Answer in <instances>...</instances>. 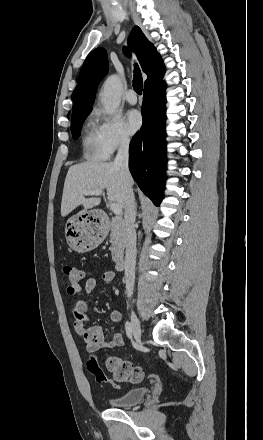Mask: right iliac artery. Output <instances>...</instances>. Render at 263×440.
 <instances>
[{
    "mask_svg": "<svg viewBox=\"0 0 263 440\" xmlns=\"http://www.w3.org/2000/svg\"><path fill=\"white\" fill-rule=\"evenodd\" d=\"M125 329H126V334L129 338L132 337V325L129 321H126L125 323Z\"/></svg>",
    "mask_w": 263,
    "mask_h": 440,
    "instance_id": "82829eb1",
    "label": "right iliac artery"
}]
</instances>
